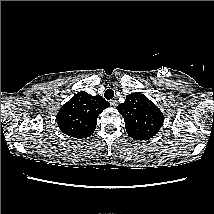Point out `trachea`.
<instances>
[{
    "instance_id": "trachea-1",
    "label": "trachea",
    "mask_w": 214,
    "mask_h": 214,
    "mask_svg": "<svg viewBox=\"0 0 214 214\" xmlns=\"http://www.w3.org/2000/svg\"><path fill=\"white\" fill-rule=\"evenodd\" d=\"M104 97L107 99V100H110L114 97V91L112 89H107L104 93Z\"/></svg>"
}]
</instances>
